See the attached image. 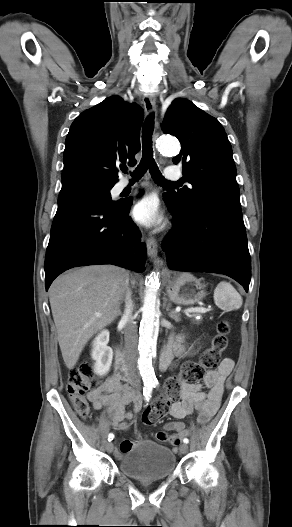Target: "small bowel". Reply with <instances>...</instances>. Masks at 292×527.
Instances as JSON below:
<instances>
[{"label":"small bowel","mask_w":292,"mask_h":527,"mask_svg":"<svg viewBox=\"0 0 292 527\" xmlns=\"http://www.w3.org/2000/svg\"><path fill=\"white\" fill-rule=\"evenodd\" d=\"M185 353V339L177 336L168 344L164 356L169 364L173 354L183 355ZM232 369L233 361L226 358L216 370L209 371L204 378L207 392H204L199 384L181 383L178 390L179 399L171 402L168 411L176 421L165 424L163 431L157 434V440L177 445L180 437L186 434L185 424L181 420L192 414L194 410L200 412L198 422L206 423L219 408L224 382ZM88 399L97 410L106 407L112 426L122 431L129 429L127 421L131 420L141 407V397L116 374L98 388L91 390L88 393ZM130 404L133 405V410L127 411L126 406ZM166 431H168L167 434ZM132 446L133 442L122 441L117 454L126 452Z\"/></svg>","instance_id":"c3829d8e"}]
</instances>
